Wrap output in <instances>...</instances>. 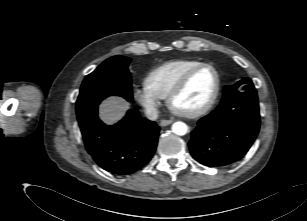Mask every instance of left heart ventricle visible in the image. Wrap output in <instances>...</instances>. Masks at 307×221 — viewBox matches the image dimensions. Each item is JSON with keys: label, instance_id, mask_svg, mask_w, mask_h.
<instances>
[{"label": "left heart ventricle", "instance_id": "1", "mask_svg": "<svg viewBox=\"0 0 307 221\" xmlns=\"http://www.w3.org/2000/svg\"><path fill=\"white\" fill-rule=\"evenodd\" d=\"M215 74L209 68L196 73L185 90L175 99L174 107L181 112H191L204 106L215 88Z\"/></svg>", "mask_w": 307, "mask_h": 221}]
</instances>
